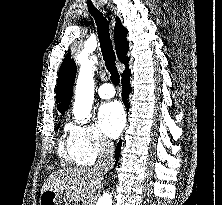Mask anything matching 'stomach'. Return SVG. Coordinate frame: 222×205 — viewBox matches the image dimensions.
I'll return each instance as SVG.
<instances>
[{"label": "stomach", "instance_id": "stomach-1", "mask_svg": "<svg viewBox=\"0 0 222 205\" xmlns=\"http://www.w3.org/2000/svg\"><path fill=\"white\" fill-rule=\"evenodd\" d=\"M39 203L40 205H68L60 194L52 190L43 191Z\"/></svg>", "mask_w": 222, "mask_h": 205}]
</instances>
